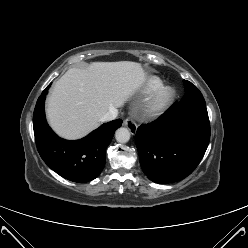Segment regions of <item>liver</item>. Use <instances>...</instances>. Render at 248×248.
<instances>
[{"mask_svg": "<svg viewBox=\"0 0 248 248\" xmlns=\"http://www.w3.org/2000/svg\"><path fill=\"white\" fill-rule=\"evenodd\" d=\"M145 80L141 64L130 61L69 69L48 97L49 124L61 137L81 138L96 129L110 109L121 107Z\"/></svg>", "mask_w": 248, "mask_h": 248, "instance_id": "obj_1", "label": "liver"}]
</instances>
